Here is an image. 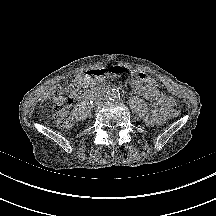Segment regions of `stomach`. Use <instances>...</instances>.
I'll return each mask as SVG.
<instances>
[{"label": "stomach", "instance_id": "stomach-1", "mask_svg": "<svg viewBox=\"0 0 216 216\" xmlns=\"http://www.w3.org/2000/svg\"><path fill=\"white\" fill-rule=\"evenodd\" d=\"M104 71L106 75L110 78H119V79L128 80L133 75V72L129 66L117 65L113 62H108L104 66Z\"/></svg>", "mask_w": 216, "mask_h": 216}]
</instances>
